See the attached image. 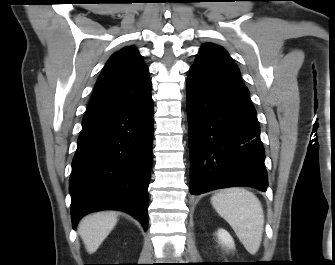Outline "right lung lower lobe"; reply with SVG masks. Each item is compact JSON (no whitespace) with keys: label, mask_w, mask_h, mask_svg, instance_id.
<instances>
[{"label":"right lung lower lobe","mask_w":335,"mask_h":265,"mask_svg":"<svg viewBox=\"0 0 335 265\" xmlns=\"http://www.w3.org/2000/svg\"><path fill=\"white\" fill-rule=\"evenodd\" d=\"M153 101L86 112L70 176L73 228L99 210L130 213L148 227Z\"/></svg>","instance_id":"1"}]
</instances>
